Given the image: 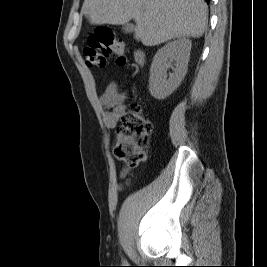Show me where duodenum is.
I'll return each mask as SVG.
<instances>
[{
  "label": "duodenum",
  "mask_w": 267,
  "mask_h": 267,
  "mask_svg": "<svg viewBox=\"0 0 267 267\" xmlns=\"http://www.w3.org/2000/svg\"><path fill=\"white\" fill-rule=\"evenodd\" d=\"M135 59L138 63H141L143 61V54L141 52H137L135 55Z\"/></svg>",
  "instance_id": "duodenum-1"
}]
</instances>
